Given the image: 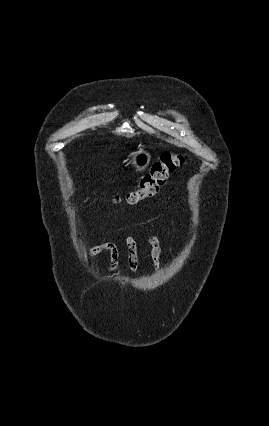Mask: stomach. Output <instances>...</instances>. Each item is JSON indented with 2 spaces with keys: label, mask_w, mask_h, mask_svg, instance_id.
<instances>
[{
  "label": "stomach",
  "mask_w": 269,
  "mask_h": 426,
  "mask_svg": "<svg viewBox=\"0 0 269 426\" xmlns=\"http://www.w3.org/2000/svg\"><path fill=\"white\" fill-rule=\"evenodd\" d=\"M129 163L136 172L145 171L151 163V155L148 151L140 148L129 155Z\"/></svg>",
  "instance_id": "0dacf381"
}]
</instances>
